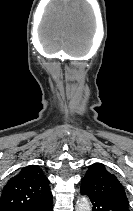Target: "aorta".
Wrapping results in <instances>:
<instances>
[{
  "label": "aorta",
  "mask_w": 133,
  "mask_h": 211,
  "mask_svg": "<svg viewBox=\"0 0 133 211\" xmlns=\"http://www.w3.org/2000/svg\"><path fill=\"white\" fill-rule=\"evenodd\" d=\"M76 211H91V204L87 197L83 196L78 199L76 204Z\"/></svg>",
  "instance_id": "obj_1"
}]
</instances>
